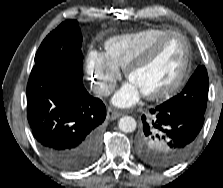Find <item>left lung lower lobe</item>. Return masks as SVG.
I'll list each match as a JSON object with an SVG mask.
<instances>
[{"instance_id":"1","label":"left lung lower lobe","mask_w":223,"mask_h":188,"mask_svg":"<svg viewBox=\"0 0 223 188\" xmlns=\"http://www.w3.org/2000/svg\"><path fill=\"white\" fill-rule=\"evenodd\" d=\"M151 117L142 116L143 128L139 133L138 152H148L146 138L157 137L165 147L161 158L164 166H172L183 160L193 149L204 116L185 111H168L161 106L150 110Z\"/></svg>"}]
</instances>
